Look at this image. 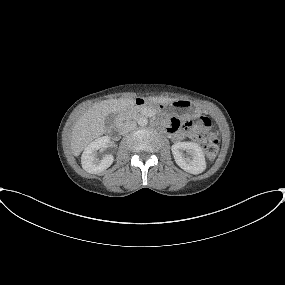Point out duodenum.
Instances as JSON below:
<instances>
[{"label": "duodenum", "instance_id": "duodenum-1", "mask_svg": "<svg viewBox=\"0 0 285 285\" xmlns=\"http://www.w3.org/2000/svg\"><path fill=\"white\" fill-rule=\"evenodd\" d=\"M131 104L134 106L143 107L146 105V100L143 98H136L131 101ZM120 130H121V124L120 122H116L113 127V132L118 133Z\"/></svg>", "mask_w": 285, "mask_h": 285}]
</instances>
